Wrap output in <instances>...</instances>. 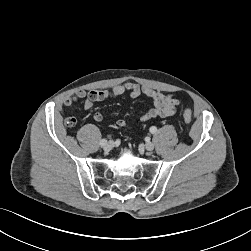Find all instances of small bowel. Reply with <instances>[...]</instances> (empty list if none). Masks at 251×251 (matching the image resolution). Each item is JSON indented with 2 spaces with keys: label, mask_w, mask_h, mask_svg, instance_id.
Wrapping results in <instances>:
<instances>
[{
  "label": "small bowel",
  "mask_w": 251,
  "mask_h": 251,
  "mask_svg": "<svg viewBox=\"0 0 251 251\" xmlns=\"http://www.w3.org/2000/svg\"><path fill=\"white\" fill-rule=\"evenodd\" d=\"M124 94H128L132 98L144 94L152 100L153 106L140 117L141 122H146L154 118H167L172 116L176 108L180 105V100L172 93L164 94L149 86H141L131 81L113 86L109 89H95L89 91L76 90L65 99L64 104L66 106H71L79 100H84V108L90 110L95 102L119 97ZM93 118L97 122L103 121V115L99 111L93 113ZM116 124L120 128H130V125L124 119L117 120Z\"/></svg>",
  "instance_id": "obj_1"
}]
</instances>
